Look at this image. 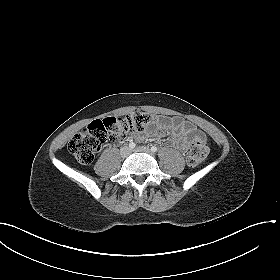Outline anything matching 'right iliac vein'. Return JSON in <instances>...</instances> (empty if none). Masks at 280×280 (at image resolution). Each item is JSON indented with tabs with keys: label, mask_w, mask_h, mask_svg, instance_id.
Instances as JSON below:
<instances>
[{
	"label": "right iliac vein",
	"mask_w": 280,
	"mask_h": 280,
	"mask_svg": "<svg viewBox=\"0 0 280 280\" xmlns=\"http://www.w3.org/2000/svg\"><path fill=\"white\" fill-rule=\"evenodd\" d=\"M130 152H131L130 148L127 147V146H124L120 150V155H121V157L125 158V157H127L130 154Z\"/></svg>",
	"instance_id": "63e3f726"
}]
</instances>
